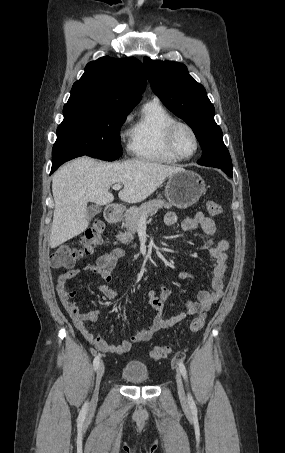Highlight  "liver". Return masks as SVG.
<instances>
[{"instance_id": "6515ba94", "label": "liver", "mask_w": 285, "mask_h": 453, "mask_svg": "<svg viewBox=\"0 0 285 453\" xmlns=\"http://www.w3.org/2000/svg\"><path fill=\"white\" fill-rule=\"evenodd\" d=\"M182 170L156 162L133 159L102 162L80 157L59 168L52 178L55 202L49 245L56 248L80 235L88 225V202L107 205L114 200L113 184H123L120 200L138 203L149 197L170 175Z\"/></svg>"}]
</instances>
